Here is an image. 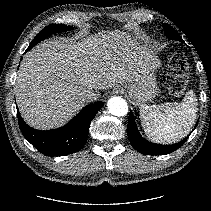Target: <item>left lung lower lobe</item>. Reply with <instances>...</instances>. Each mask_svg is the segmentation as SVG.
I'll list each match as a JSON object with an SVG mask.
<instances>
[{
  "mask_svg": "<svg viewBox=\"0 0 211 211\" xmlns=\"http://www.w3.org/2000/svg\"><path fill=\"white\" fill-rule=\"evenodd\" d=\"M180 41H183L182 39ZM196 128V127H195ZM128 136L132 146L140 153L146 155H163L169 154L175 150H177L182 144L186 141L187 137L180 141L179 143L173 145H160L154 144L147 140H145L141 134L139 133L134 116L130 111L129 114V122H128Z\"/></svg>",
  "mask_w": 211,
  "mask_h": 211,
  "instance_id": "left-lung-lower-lobe-1",
  "label": "left lung lower lobe"
}]
</instances>
